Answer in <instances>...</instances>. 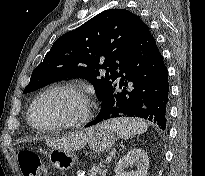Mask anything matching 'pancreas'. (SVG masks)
<instances>
[{"label": "pancreas", "instance_id": "cf45deb5", "mask_svg": "<svg viewBox=\"0 0 205 176\" xmlns=\"http://www.w3.org/2000/svg\"><path fill=\"white\" fill-rule=\"evenodd\" d=\"M107 169L105 167L100 168V167H92L90 170L89 176H106Z\"/></svg>", "mask_w": 205, "mask_h": 176}]
</instances>
